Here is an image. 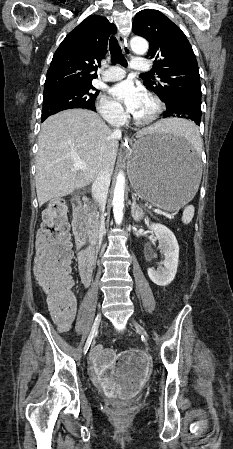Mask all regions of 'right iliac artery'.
<instances>
[{"mask_svg": "<svg viewBox=\"0 0 233 449\" xmlns=\"http://www.w3.org/2000/svg\"><path fill=\"white\" fill-rule=\"evenodd\" d=\"M91 341H92V339H91ZM91 341H89V342L86 343V345H85V347H84V353H86V352L88 351V349H89V347H90V344H91Z\"/></svg>", "mask_w": 233, "mask_h": 449, "instance_id": "obj_1", "label": "right iliac artery"}]
</instances>
